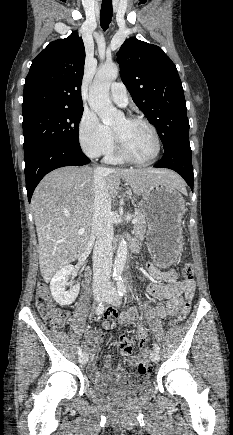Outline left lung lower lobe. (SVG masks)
Instances as JSON below:
<instances>
[{
	"label": "left lung lower lobe",
	"mask_w": 233,
	"mask_h": 435,
	"mask_svg": "<svg viewBox=\"0 0 233 435\" xmlns=\"http://www.w3.org/2000/svg\"><path fill=\"white\" fill-rule=\"evenodd\" d=\"M154 167L169 168L176 171L193 191L194 176L189 139L181 140L165 149L161 161Z\"/></svg>",
	"instance_id": "obj_1"
}]
</instances>
